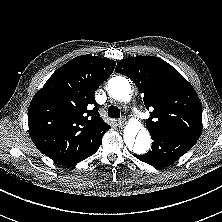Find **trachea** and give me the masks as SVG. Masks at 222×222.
I'll use <instances>...</instances> for the list:
<instances>
[{
	"mask_svg": "<svg viewBox=\"0 0 222 222\" xmlns=\"http://www.w3.org/2000/svg\"><path fill=\"white\" fill-rule=\"evenodd\" d=\"M108 116L110 118H115V119L119 118L120 117V110H119V108L116 107V106H113V105L110 106L108 108Z\"/></svg>",
	"mask_w": 222,
	"mask_h": 222,
	"instance_id": "1",
	"label": "trachea"
}]
</instances>
